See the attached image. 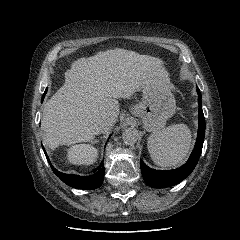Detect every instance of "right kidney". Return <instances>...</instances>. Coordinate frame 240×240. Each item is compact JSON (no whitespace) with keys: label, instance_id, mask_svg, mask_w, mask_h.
Returning a JSON list of instances; mask_svg holds the SVG:
<instances>
[{"label":"right kidney","instance_id":"1","mask_svg":"<svg viewBox=\"0 0 240 240\" xmlns=\"http://www.w3.org/2000/svg\"><path fill=\"white\" fill-rule=\"evenodd\" d=\"M97 156V149L87 144L74 145L68 150V160L75 165L93 164L96 161Z\"/></svg>","mask_w":240,"mask_h":240}]
</instances>
